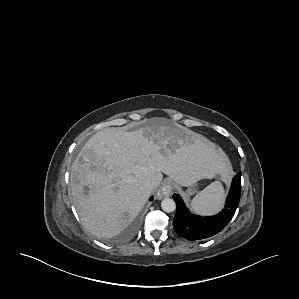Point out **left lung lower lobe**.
<instances>
[{
  "instance_id": "obj_1",
  "label": "left lung lower lobe",
  "mask_w": 299,
  "mask_h": 299,
  "mask_svg": "<svg viewBox=\"0 0 299 299\" xmlns=\"http://www.w3.org/2000/svg\"><path fill=\"white\" fill-rule=\"evenodd\" d=\"M241 195V173H237L232 181L231 189L226 200L225 209L219 214L210 217H201L191 214L186 208L182 198L174 194L176 201V214L173 227L180 237L188 240H201L212 237L222 231L232 219Z\"/></svg>"
}]
</instances>
